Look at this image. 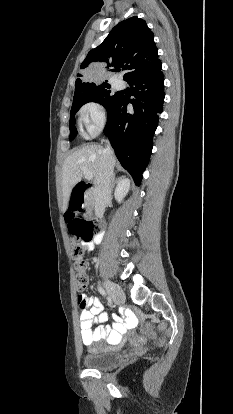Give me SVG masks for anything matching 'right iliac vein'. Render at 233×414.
<instances>
[{
  "label": "right iliac vein",
  "instance_id": "1",
  "mask_svg": "<svg viewBox=\"0 0 233 414\" xmlns=\"http://www.w3.org/2000/svg\"><path fill=\"white\" fill-rule=\"evenodd\" d=\"M104 284L109 296L115 303L121 304L125 301L124 292L119 286L107 279L104 281Z\"/></svg>",
  "mask_w": 233,
  "mask_h": 414
}]
</instances>
